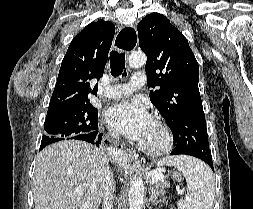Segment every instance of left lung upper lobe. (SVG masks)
<instances>
[{"label":"left lung upper lobe","instance_id":"obj_1","mask_svg":"<svg viewBox=\"0 0 253 209\" xmlns=\"http://www.w3.org/2000/svg\"><path fill=\"white\" fill-rule=\"evenodd\" d=\"M139 46L147 55L150 100L170 127L176 154L211 156L198 88L199 66L187 39L170 21L152 13L137 26Z\"/></svg>","mask_w":253,"mask_h":209}]
</instances>
